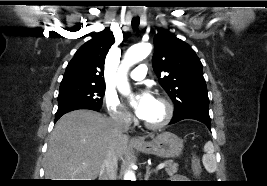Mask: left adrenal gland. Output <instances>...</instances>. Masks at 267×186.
<instances>
[{
    "label": "left adrenal gland",
    "instance_id": "1",
    "mask_svg": "<svg viewBox=\"0 0 267 186\" xmlns=\"http://www.w3.org/2000/svg\"><path fill=\"white\" fill-rule=\"evenodd\" d=\"M154 172L156 173V171H154V170H150L149 165H147V166H146L145 181H148L150 175H151L152 173H154Z\"/></svg>",
    "mask_w": 267,
    "mask_h": 186
}]
</instances>
